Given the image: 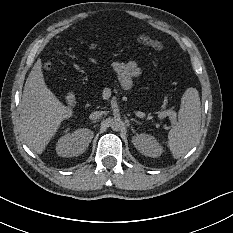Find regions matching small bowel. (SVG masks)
I'll return each mask as SVG.
<instances>
[{
  "label": "small bowel",
  "mask_w": 233,
  "mask_h": 233,
  "mask_svg": "<svg viewBox=\"0 0 233 233\" xmlns=\"http://www.w3.org/2000/svg\"><path fill=\"white\" fill-rule=\"evenodd\" d=\"M112 68L117 73L119 82L125 91H130L133 79L140 77L142 74L139 65L135 61H115Z\"/></svg>",
  "instance_id": "c3829d8e"
}]
</instances>
